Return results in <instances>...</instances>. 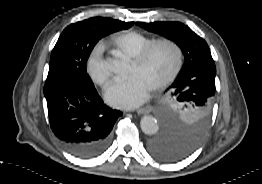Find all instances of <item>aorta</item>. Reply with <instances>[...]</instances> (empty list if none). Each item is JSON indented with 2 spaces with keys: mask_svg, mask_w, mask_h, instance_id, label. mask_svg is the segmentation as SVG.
<instances>
[{
  "mask_svg": "<svg viewBox=\"0 0 262 184\" xmlns=\"http://www.w3.org/2000/svg\"><path fill=\"white\" fill-rule=\"evenodd\" d=\"M113 71L116 73H119L121 72V69L119 66L116 65L114 66ZM140 126H141L142 131L146 135H154L159 130L157 119L150 115H145L141 118Z\"/></svg>",
  "mask_w": 262,
  "mask_h": 184,
  "instance_id": "aorta-1",
  "label": "aorta"
}]
</instances>
